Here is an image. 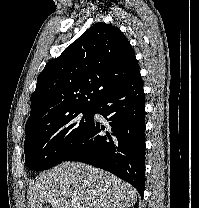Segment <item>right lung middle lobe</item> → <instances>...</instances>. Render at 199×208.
<instances>
[{"instance_id": "1", "label": "right lung middle lobe", "mask_w": 199, "mask_h": 208, "mask_svg": "<svg viewBox=\"0 0 199 208\" xmlns=\"http://www.w3.org/2000/svg\"><path fill=\"white\" fill-rule=\"evenodd\" d=\"M93 119V107H83L30 131L24 142L27 167L42 171L64 161L78 146Z\"/></svg>"}]
</instances>
